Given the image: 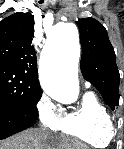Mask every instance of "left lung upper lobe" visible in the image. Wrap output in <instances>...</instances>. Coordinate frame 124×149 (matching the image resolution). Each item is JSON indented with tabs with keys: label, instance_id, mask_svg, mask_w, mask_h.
Wrapping results in <instances>:
<instances>
[{
	"label": "left lung upper lobe",
	"instance_id": "obj_1",
	"mask_svg": "<svg viewBox=\"0 0 124 149\" xmlns=\"http://www.w3.org/2000/svg\"><path fill=\"white\" fill-rule=\"evenodd\" d=\"M82 46L81 72L114 110L119 105L120 74L107 30L94 18L77 22Z\"/></svg>",
	"mask_w": 124,
	"mask_h": 149
}]
</instances>
